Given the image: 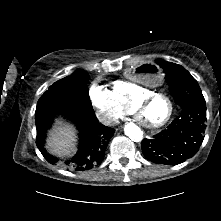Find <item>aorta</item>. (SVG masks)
<instances>
[{"instance_id":"obj_1","label":"aorta","mask_w":221,"mask_h":221,"mask_svg":"<svg viewBox=\"0 0 221 221\" xmlns=\"http://www.w3.org/2000/svg\"><path fill=\"white\" fill-rule=\"evenodd\" d=\"M125 135L134 142H140L143 139L142 130L134 123H128L124 127Z\"/></svg>"}]
</instances>
